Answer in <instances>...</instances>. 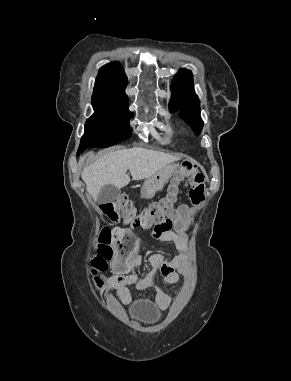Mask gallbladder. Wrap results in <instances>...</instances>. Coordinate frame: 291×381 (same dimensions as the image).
Returning <instances> with one entry per match:
<instances>
[{"label": "gallbladder", "instance_id": "obj_1", "mask_svg": "<svg viewBox=\"0 0 291 381\" xmlns=\"http://www.w3.org/2000/svg\"><path fill=\"white\" fill-rule=\"evenodd\" d=\"M120 195V189L114 185H105L102 187L99 195H98V203L106 204L114 201Z\"/></svg>", "mask_w": 291, "mask_h": 381}]
</instances>
